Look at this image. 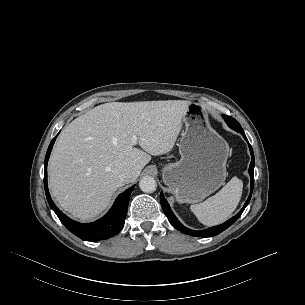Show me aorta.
<instances>
[{"label": "aorta", "mask_w": 305, "mask_h": 305, "mask_svg": "<svg viewBox=\"0 0 305 305\" xmlns=\"http://www.w3.org/2000/svg\"><path fill=\"white\" fill-rule=\"evenodd\" d=\"M140 189L145 193H152L156 190V180L151 176H144L139 182Z\"/></svg>", "instance_id": "aorta-1"}]
</instances>
